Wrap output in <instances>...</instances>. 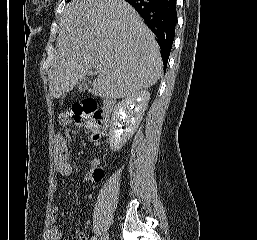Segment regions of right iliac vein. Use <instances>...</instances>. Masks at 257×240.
<instances>
[{"mask_svg": "<svg viewBox=\"0 0 257 240\" xmlns=\"http://www.w3.org/2000/svg\"><path fill=\"white\" fill-rule=\"evenodd\" d=\"M100 240H108V234L105 233L101 236V239Z\"/></svg>", "mask_w": 257, "mask_h": 240, "instance_id": "obj_1", "label": "right iliac vein"}]
</instances>
